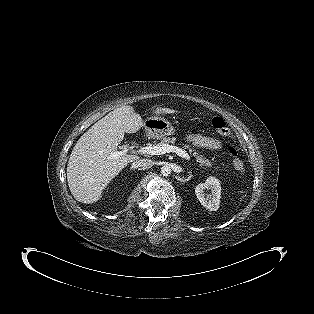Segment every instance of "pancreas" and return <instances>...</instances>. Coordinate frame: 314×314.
Listing matches in <instances>:
<instances>
[{
    "instance_id": "pancreas-1",
    "label": "pancreas",
    "mask_w": 314,
    "mask_h": 314,
    "mask_svg": "<svg viewBox=\"0 0 314 314\" xmlns=\"http://www.w3.org/2000/svg\"><path fill=\"white\" fill-rule=\"evenodd\" d=\"M176 141L175 138H163L159 144H174ZM185 149H188L189 153L196 158L197 163H199V167L209 168L212 167V163L205 156L200 155L198 151L192 148L190 145L185 144Z\"/></svg>"
}]
</instances>
